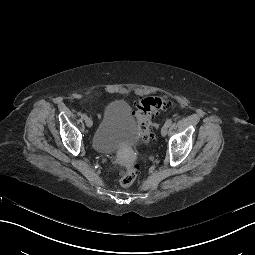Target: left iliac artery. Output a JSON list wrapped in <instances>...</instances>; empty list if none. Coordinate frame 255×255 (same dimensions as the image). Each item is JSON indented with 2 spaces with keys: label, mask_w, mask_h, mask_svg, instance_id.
<instances>
[{
  "label": "left iliac artery",
  "mask_w": 255,
  "mask_h": 255,
  "mask_svg": "<svg viewBox=\"0 0 255 255\" xmlns=\"http://www.w3.org/2000/svg\"><path fill=\"white\" fill-rule=\"evenodd\" d=\"M165 125L167 127L171 126L172 125V120L171 119H168L166 122H165Z\"/></svg>",
  "instance_id": "left-iliac-artery-1"
}]
</instances>
